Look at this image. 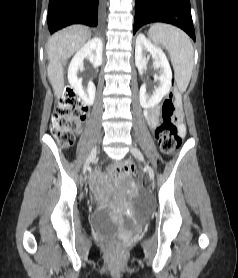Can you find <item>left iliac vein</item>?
I'll list each match as a JSON object with an SVG mask.
<instances>
[{
	"instance_id": "left-iliac-vein-1",
	"label": "left iliac vein",
	"mask_w": 238,
	"mask_h": 278,
	"mask_svg": "<svg viewBox=\"0 0 238 278\" xmlns=\"http://www.w3.org/2000/svg\"><path fill=\"white\" fill-rule=\"evenodd\" d=\"M130 151H131L132 155L135 156L136 158H138L142 161L144 160L143 154L141 153V151L136 146H132ZM145 166H146V171L148 173L149 178L151 180H154V170L147 163H145Z\"/></svg>"
}]
</instances>
